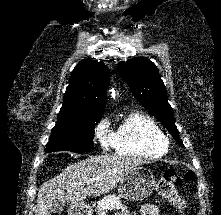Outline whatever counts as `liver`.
Wrapping results in <instances>:
<instances>
[{"label":"liver","instance_id":"obj_1","mask_svg":"<svg viewBox=\"0 0 221 215\" xmlns=\"http://www.w3.org/2000/svg\"><path fill=\"white\" fill-rule=\"evenodd\" d=\"M144 163L136 157L105 154L71 164L41 186L35 215H50L56 201L77 203L87 196L109 193L132 169Z\"/></svg>","mask_w":221,"mask_h":215}]
</instances>
